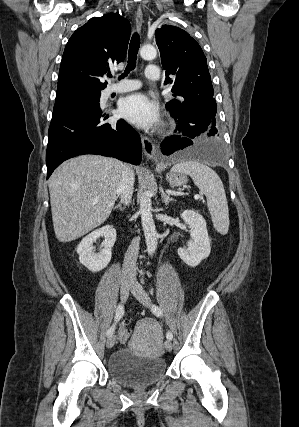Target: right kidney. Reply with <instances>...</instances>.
Here are the masks:
<instances>
[{
	"label": "right kidney",
	"mask_w": 299,
	"mask_h": 427,
	"mask_svg": "<svg viewBox=\"0 0 299 427\" xmlns=\"http://www.w3.org/2000/svg\"><path fill=\"white\" fill-rule=\"evenodd\" d=\"M100 236L104 237L99 253H95L93 243ZM116 241V230L110 226H103L82 239L77 247L79 261L92 272H98L104 269L110 262L112 256V247Z\"/></svg>",
	"instance_id": "1"
}]
</instances>
